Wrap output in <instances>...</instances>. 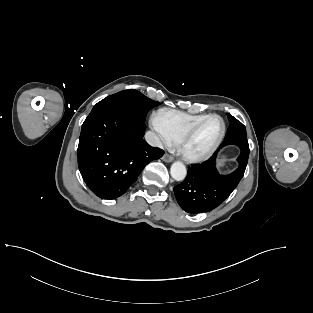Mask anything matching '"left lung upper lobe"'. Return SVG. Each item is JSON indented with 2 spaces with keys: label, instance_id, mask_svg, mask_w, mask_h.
<instances>
[{
  "label": "left lung upper lobe",
  "instance_id": "5c2ea615",
  "mask_svg": "<svg viewBox=\"0 0 313 313\" xmlns=\"http://www.w3.org/2000/svg\"><path fill=\"white\" fill-rule=\"evenodd\" d=\"M227 116L230 121V126L228 127L225 139L232 137H246L245 126L229 113Z\"/></svg>",
  "mask_w": 313,
  "mask_h": 313
}]
</instances>
